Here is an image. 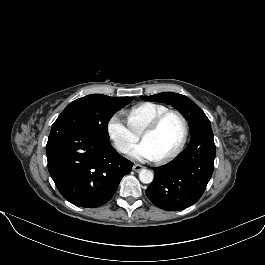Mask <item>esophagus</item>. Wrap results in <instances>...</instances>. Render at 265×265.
Returning <instances> with one entry per match:
<instances>
[{
    "instance_id": "obj_1",
    "label": "esophagus",
    "mask_w": 265,
    "mask_h": 265,
    "mask_svg": "<svg viewBox=\"0 0 265 265\" xmlns=\"http://www.w3.org/2000/svg\"><path fill=\"white\" fill-rule=\"evenodd\" d=\"M144 167L140 164H134L132 169L135 171V172H139L143 169Z\"/></svg>"
}]
</instances>
